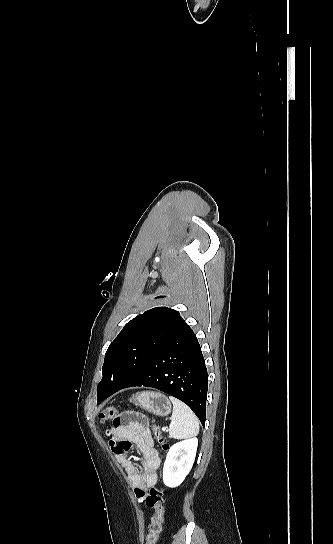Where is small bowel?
Returning a JSON list of instances; mask_svg holds the SVG:
<instances>
[{
  "label": "small bowel",
  "mask_w": 333,
  "mask_h": 544,
  "mask_svg": "<svg viewBox=\"0 0 333 544\" xmlns=\"http://www.w3.org/2000/svg\"><path fill=\"white\" fill-rule=\"evenodd\" d=\"M107 433L110 437L111 451L124 469L136 497L143 501L147 489L157 484V470L161 464L160 453L155 448L145 417L133 412H124L113 419ZM133 445L142 455L140 466L133 463L127 455Z\"/></svg>",
  "instance_id": "c3829d8e"
}]
</instances>
